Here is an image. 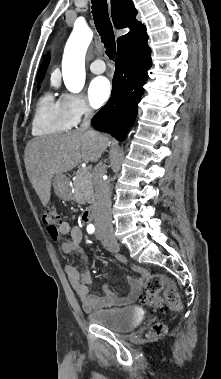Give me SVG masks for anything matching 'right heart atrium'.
<instances>
[{
	"instance_id": "1",
	"label": "right heart atrium",
	"mask_w": 221,
	"mask_h": 379,
	"mask_svg": "<svg viewBox=\"0 0 221 379\" xmlns=\"http://www.w3.org/2000/svg\"><path fill=\"white\" fill-rule=\"evenodd\" d=\"M60 103L67 116L77 125L84 118L90 117L94 109L83 94L62 93L59 97Z\"/></svg>"
}]
</instances>
